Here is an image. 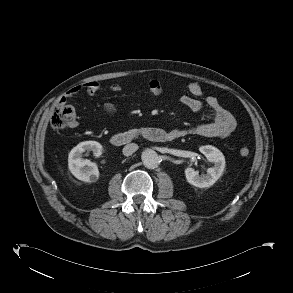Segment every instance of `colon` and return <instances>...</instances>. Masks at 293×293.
<instances>
[{"label":"colon","instance_id":"obj_1","mask_svg":"<svg viewBox=\"0 0 293 293\" xmlns=\"http://www.w3.org/2000/svg\"><path fill=\"white\" fill-rule=\"evenodd\" d=\"M75 117V110L72 106L59 102L53 112L51 125L55 130H63L74 123ZM239 154L246 158L250 155V150L243 147L239 150Z\"/></svg>","mask_w":293,"mask_h":293}]
</instances>
